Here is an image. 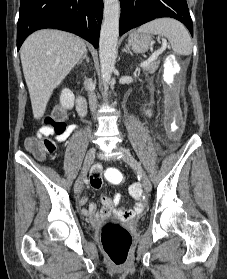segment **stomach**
<instances>
[{"instance_id":"stomach-1","label":"stomach","mask_w":227,"mask_h":279,"mask_svg":"<svg viewBox=\"0 0 227 279\" xmlns=\"http://www.w3.org/2000/svg\"><path fill=\"white\" fill-rule=\"evenodd\" d=\"M128 46L136 53H144L149 49L151 38L146 34L132 33L128 38Z\"/></svg>"}]
</instances>
